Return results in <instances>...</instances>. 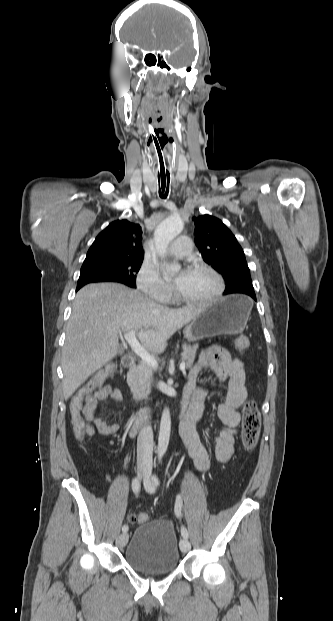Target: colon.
<instances>
[{
	"mask_svg": "<svg viewBox=\"0 0 333 621\" xmlns=\"http://www.w3.org/2000/svg\"><path fill=\"white\" fill-rule=\"evenodd\" d=\"M235 344L239 351H245L249 347V341L246 337L237 338ZM115 369L116 366L112 363L104 366L73 395L69 406V416L71 426L77 438L82 439L85 435V425L81 415L82 404L85 397L93 393L97 388L101 387L104 382L115 372ZM260 430V411L256 402L249 400L243 408L241 430V440L246 450H252L256 447L260 436ZM149 519V516L145 513L131 515L129 517V521L131 523H145Z\"/></svg>",
	"mask_w": 333,
	"mask_h": 621,
	"instance_id": "1",
	"label": "colon"
}]
</instances>
